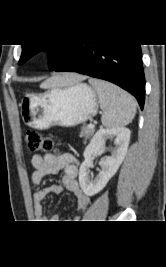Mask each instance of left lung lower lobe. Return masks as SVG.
I'll return each instance as SVG.
<instances>
[{"mask_svg":"<svg viewBox=\"0 0 166 267\" xmlns=\"http://www.w3.org/2000/svg\"><path fill=\"white\" fill-rule=\"evenodd\" d=\"M52 70L110 81L135 96L143 109L145 77L140 45L68 44Z\"/></svg>","mask_w":166,"mask_h":267,"instance_id":"0a47b994","label":"left lung lower lobe"}]
</instances>
